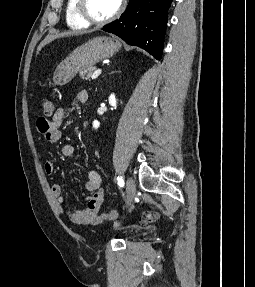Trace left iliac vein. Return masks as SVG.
Instances as JSON below:
<instances>
[{
    "instance_id": "4c4485c4",
    "label": "left iliac vein",
    "mask_w": 255,
    "mask_h": 287,
    "mask_svg": "<svg viewBox=\"0 0 255 287\" xmlns=\"http://www.w3.org/2000/svg\"><path fill=\"white\" fill-rule=\"evenodd\" d=\"M126 190H127V204L130 205L136 193L135 182L131 177L127 179Z\"/></svg>"
}]
</instances>
